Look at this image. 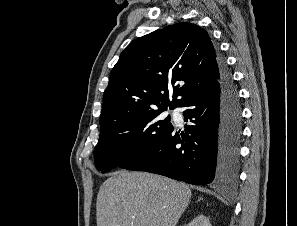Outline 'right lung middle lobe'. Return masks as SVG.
<instances>
[{
	"label": "right lung middle lobe",
	"instance_id": "right-lung-middle-lobe-1",
	"mask_svg": "<svg viewBox=\"0 0 297 226\" xmlns=\"http://www.w3.org/2000/svg\"><path fill=\"white\" fill-rule=\"evenodd\" d=\"M164 111H149L101 129L94 150L96 168L105 173L124 167L151 150L173 129L170 116L163 118Z\"/></svg>",
	"mask_w": 297,
	"mask_h": 226
}]
</instances>
